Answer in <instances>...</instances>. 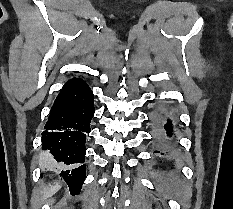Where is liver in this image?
<instances>
[{
  "mask_svg": "<svg viewBox=\"0 0 233 209\" xmlns=\"http://www.w3.org/2000/svg\"><path fill=\"white\" fill-rule=\"evenodd\" d=\"M61 187L59 182H56L54 185H49V187H46L42 191L43 197H49L52 196L59 188Z\"/></svg>",
  "mask_w": 233,
  "mask_h": 209,
  "instance_id": "obj_1",
  "label": "liver"
}]
</instances>
